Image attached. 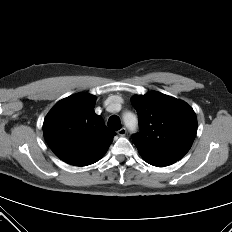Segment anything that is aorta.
Returning a JSON list of instances; mask_svg holds the SVG:
<instances>
[{
  "label": "aorta",
  "instance_id": "762f6f07",
  "mask_svg": "<svg viewBox=\"0 0 232 232\" xmlns=\"http://www.w3.org/2000/svg\"><path fill=\"white\" fill-rule=\"evenodd\" d=\"M123 121L125 123V126L130 130V131H135L137 125H138V120L135 114L131 112H127L123 115Z\"/></svg>",
  "mask_w": 232,
  "mask_h": 232
}]
</instances>
